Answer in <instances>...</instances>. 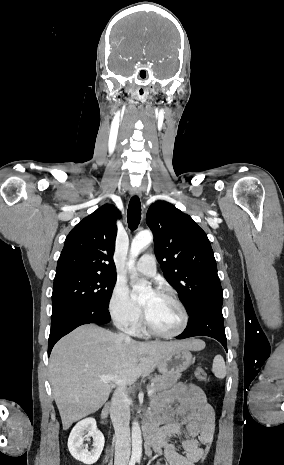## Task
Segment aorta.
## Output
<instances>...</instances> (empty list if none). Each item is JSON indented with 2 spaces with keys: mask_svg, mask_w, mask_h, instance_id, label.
I'll return each instance as SVG.
<instances>
[{
  "mask_svg": "<svg viewBox=\"0 0 284 465\" xmlns=\"http://www.w3.org/2000/svg\"><path fill=\"white\" fill-rule=\"evenodd\" d=\"M153 240V235L150 231H142L137 234L130 248V257L128 262L129 270L132 271L136 257L140 252L149 245ZM133 278V275L131 276ZM134 290L138 292V301H145L150 293L152 292L151 288L148 286L133 285ZM142 454V436L139 423L134 421L132 424V457L135 459H140Z\"/></svg>",
  "mask_w": 284,
  "mask_h": 465,
  "instance_id": "1",
  "label": "aorta"
}]
</instances>
